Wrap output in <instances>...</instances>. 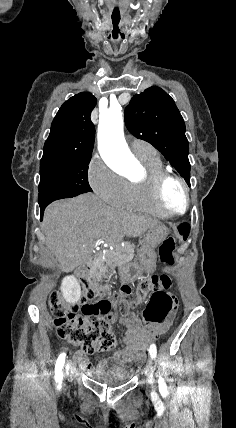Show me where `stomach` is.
<instances>
[{
	"label": "stomach",
	"instance_id": "0dacf381",
	"mask_svg": "<svg viewBox=\"0 0 236 428\" xmlns=\"http://www.w3.org/2000/svg\"><path fill=\"white\" fill-rule=\"evenodd\" d=\"M165 238H167V230L161 222L149 228L138 252V260H127L118 267V282L123 283L124 286L138 283L144 273H150L151 269H157L158 261L156 260L155 248H157Z\"/></svg>",
	"mask_w": 236,
	"mask_h": 428
}]
</instances>
